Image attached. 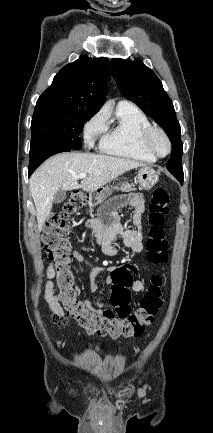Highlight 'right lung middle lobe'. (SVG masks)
Instances as JSON below:
<instances>
[{
  "instance_id": "right-lung-middle-lobe-1",
  "label": "right lung middle lobe",
  "mask_w": 213,
  "mask_h": 433,
  "mask_svg": "<svg viewBox=\"0 0 213 433\" xmlns=\"http://www.w3.org/2000/svg\"><path fill=\"white\" fill-rule=\"evenodd\" d=\"M94 111L76 105L37 102L31 122V146L57 143L81 149L79 135Z\"/></svg>"
}]
</instances>
